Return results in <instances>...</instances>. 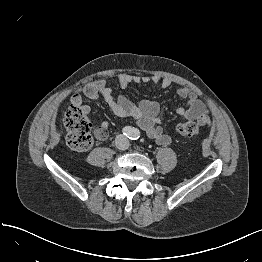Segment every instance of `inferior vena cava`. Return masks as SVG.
Masks as SVG:
<instances>
[{
    "instance_id": "602c4592",
    "label": "inferior vena cava",
    "mask_w": 262,
    "mask_h": 262,
    "mask_svg": "<svg viewBox=\"0 0 262 262\" xmlns=\"http://www.w3.org/2000/svg\"><path fill=\"white\" fill-rule=\"evenodd\" d=\"M115 145L120 150H126L130 144L126 136L119 134L115 138Z\"/></svg>"
}]
</instances>
